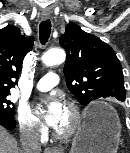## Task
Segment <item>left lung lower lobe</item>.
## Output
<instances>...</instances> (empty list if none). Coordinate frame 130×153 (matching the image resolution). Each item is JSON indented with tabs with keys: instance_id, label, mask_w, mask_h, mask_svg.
<instances>
[{
	"instance_id": "0a47b994",
	"label": "left lung lower lobe",
	"mask_w": 130,
	"mask_h": 153,
	"mask_svg": "<svg viewBox=\"0 0 130 153\" xmlns=\"http://www.w3.org/2000/svg\"><path fill=\"white\" fill-rule=\"evenodd\" d=\"M125 99H121L120 101H124Z\"/></svg>"
}]
</instances>
